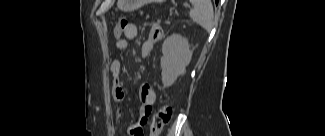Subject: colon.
I'll list each match as a JSON object with an SVG mask.
<instances>
[{
	"mask_svg": "<svg viewBox=\"0 0 325 136\" xmlns=\"http://www.w3.org/2000/svg\"><path fill=\"white\" fill-rule=\"evenodd\" d=\"M126 17H122L114 29V37L119 40L123 36L124 29L129 25ZM172 116V108L169 105H164L155 113L150 124L149 136H158L163 127L170 121Z\"/></svg>",
	"mask_w": 325,
	"mask_h": 136,
	"instance_id": "colon-1",
	"label": "colon"
}]
</instances>
